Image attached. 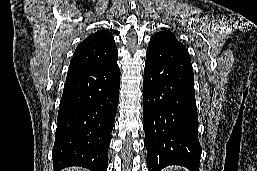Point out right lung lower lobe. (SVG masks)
<instances>
[{"label": "right lung lower lobe", "instance_id": "98d812e1", "mask_svg": "<svg viewBox=\"0 0 257 171\" xmlns=\"http://www.w3.org/2000/svg\"><path fill=\"white\" fill-rule=\"evenodd\" d=\"M119 78L117 60L101 67L68 71L52 150L54 171L70 166L107 171Z\"/></svg>", "mask_w": 257, "mask_h": 171}]
</instances>
